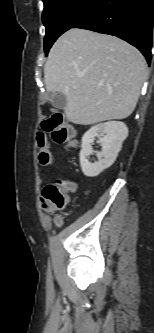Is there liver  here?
<instances>
[{
	"label": "liver",
	"mask_w": 154,
	"mask_h": 333,
	"mask_svg": "<svg viewBox=\"0 0 154 333\" xmlns=\"http://www.w3.org/2000/svg\"><path fill=\"white\" fill-rule=\"evenodd\" d=\"M146 76V61L138 49L86 29L61 35L44 66L46 90L65 95V115L79 125L130 116Z\"/></svg>",
	"instance_id": "6515ba94"
}]
</instances>
